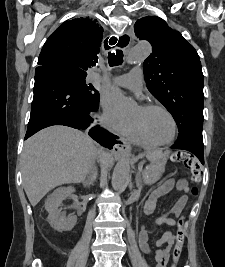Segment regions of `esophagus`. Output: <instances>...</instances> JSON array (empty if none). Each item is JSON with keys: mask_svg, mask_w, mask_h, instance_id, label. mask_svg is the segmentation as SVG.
Returning <instances> with one entry per match:
<instances>
[{"mask_svg": "<svg viewBox=\"0 0 225 267\" xmlns=\"http://www.w3.org/2000/svg\"><path fill=\"white\" fill-rule=\"evenodd\" d=\"M112 37L117 38V42L115 43V45L119 49H122L124 51H126L131 44V37H130L129 33H127V32L123 33L120 37L110 36V38H109L110 41L108 40L109 45H111L110 42H112V40H113V39H111ZM122 37H123V39H122ZM119 40H121L120 43H119ZM129 151H130L129 144L124 139H122L120 141V144L114 148L113 153H114V155L120 156V155L128 153Z\"/></svg>", "mask_w": 225, "mask_h": 267, "instance_id": "esophagus-1", "label": "esophagus"}]
</instances>
